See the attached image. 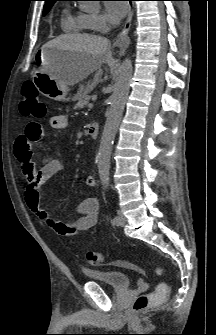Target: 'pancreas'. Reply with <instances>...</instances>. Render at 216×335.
<instances>
[{"instance_id": "obj_1", "label": "pancreas", "mask_w": 216, "mask_h": 335, "mask_svg": "<svg viewBox=\"0 0 216 335\" xmlns=\"http://www.w3.org/2000/svg\"><path fill=\"white\" fill-rule=\"evenodd\" d=\"M90 98L91 97L88 95V91L83 90L82 93L80 94L79 98H78V102L74 106V109H80V108H83L84 106H86L88 104Z\"/></svg>"}]
</instances>
